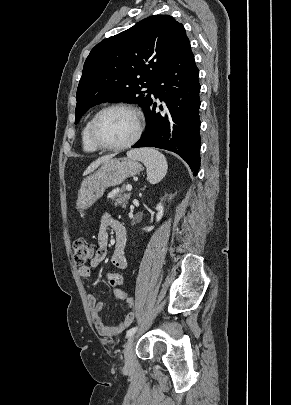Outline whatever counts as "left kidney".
Masks as SVG:
<instances>
[{
    "label": "left kidney",
    "instance_id": "left-kidney-1",
    "mask_svg": "<svg viewBox=\"0 0 291 405\" xmlns=\"http://www.w3.org/2000/svg\"><path fill=\"white\" fill-rule=\"evenodd\" d=\"M157 214H156V221H160L164 214V206L162 203L157 204L156 206ZM154 227L150 226L146 229V231L150 232Z\"/></svg>",
    "mask_w": 291,
    "mask_h": 405
}]
</instances>
